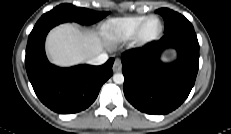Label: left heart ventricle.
I'll return each instance as SVG.
<instances>
[{"label": "left heart ventricle", "mask_w": 231, "mask_h": 134, "mask_svg": "<svg viewBox=\"0 0 231 134\" xmlns=\"http://www.w3.org/2000/svg\"><path fill=\"white\" fill-rule=\"evenodd\" d=\"M159 28H160L159 21L156 20V19L151 20L146 26L145 35L147 37H151V36L155 35L158 32Z\"/></svg>", "instance_id": "left-heart-ventricle-1"}]
</instances>
